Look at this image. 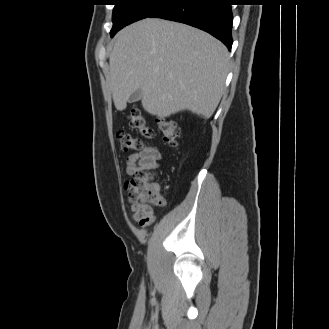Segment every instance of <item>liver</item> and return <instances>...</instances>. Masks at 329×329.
Wrapping results in <instances>:
<instances>
[{
    "label": "liver",
    "mask_w": 329,
    "mask_h": 329,
    "mask_svg": "<svg viewBox=\"0 0 329 329\" xmlns=\"http://www.w3.org/2000/svg\"><path fill=\"white\" fill-rule=\"evenodd\" d=\"M228 61L227 48L210 34L146 18L117 33L108 86L119 111L140 88L142 106L151 115L164 118L189 110L209 118L222 97Z\"/></svg>",
    "instance_id": "obj_1"
}]
</instances>
